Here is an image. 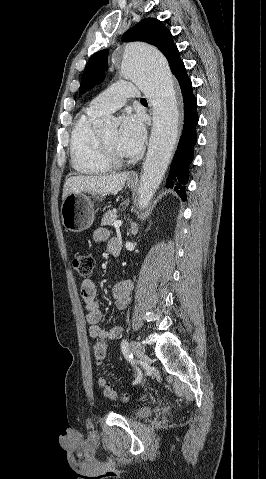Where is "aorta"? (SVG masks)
Masks as SVG:
<instances>
[{
  "instance_id": "762f6f07",
  "label": "aorta",
  "mask_w": 266,
  "mask_h": 479,
  "mask_svg": "<svg viewBox=\"0 0 266 479\" xmlns=\"http://www.w3.org/2000/svg\"><path fill=\"white\" fill-rule=\"evenodd\" d=\"M117 58L121 62L122 75L142 90L153 108V124L136 203L139 210H145L161 184L178 136L179 111L174 78L165 57L148 44H126L118 51ZM116 125L111 118L96 121L100 129Z\"/></svg>"
}]
</instances>
